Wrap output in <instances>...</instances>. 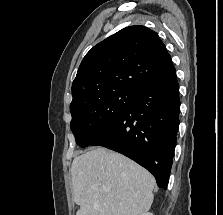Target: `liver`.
<instances>
[{
  "label": "liver",
  "instance_id": "1",
  "mask_svg": "<svg viewBox=\"0 0 223 215\" xmlns=\"http://www.w3.org/2000/svg\"><path fill=\"white\" fill-rule=\"evenodd\" d=\"M71 175L76 215H139L154 199L147 169L99 145L74 157Z\"/></svg>",
  "mask_w": 223,
  "mask_h": 215
}]
</instances>
